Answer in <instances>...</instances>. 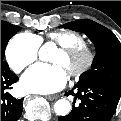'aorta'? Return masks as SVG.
Wrapping results in <instances>:
<instances>
[{
  "label": "aorta",
  "mask_w": 121,
  "mask_h": 121,
  "mask_svg": "<svg viewBox=\"0 0 121 121\" xmlns=\"http://www.w3.org/2000/svg\"><path fill=\"white\" fill-rule=\"evenodd\" d=\"M54 47L52 44H47L43 46L39 51V57L42 60H47L49 51ZM71 109L70 102L66 99H59L54 104V110L57 115L66 116Z\"/></svg>",
  "instance_id": "aorta-1"
}]
</instances>
